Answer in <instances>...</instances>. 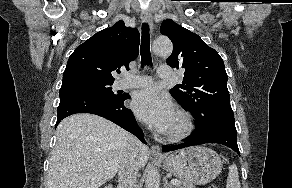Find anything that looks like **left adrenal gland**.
Here are the masks:
<instances>
[{
  "label": "left adrenal gland",
  "mask_w": 292,
  "mask_h": 188,
  "mask_svg": "<svg viewBox=\"0 0 292 188\" xmlns=\"http://www.w3.org/2000/svg\"><path fill=\"white\" fill-rule=\"evenodd\" d=\"M164 188H172V185L168 182L166 178H164Z\"/></svg>",
  "instance_id": "1"
}]
</instances>
